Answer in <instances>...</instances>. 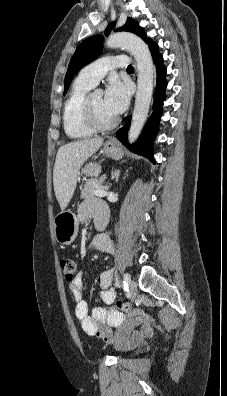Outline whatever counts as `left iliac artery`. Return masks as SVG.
Instances as JSON below:
<instances>
[{"label":"left iliac artery","mask_w":227,"mask_h":396,"mask_svg":"<svg viewBox=\"0 0 227 396\" xmlns=\"http://www.w3.org/2000/svg\"><path fill=\"white\" fill-rule=\"evenodd\" d=\"M129 282H130V275L128 273H125L123 275V284L125 290H128Z\"/></svg>","instance_id":"1"}]
</instances>
